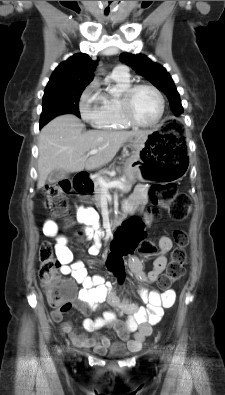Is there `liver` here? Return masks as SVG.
<instances>
[{"mask_svg":"<svg viewBox=\"0 0 225 395\" xmlns=\"http://www.w3.org/2000/svg\"><path fill=\"white\" fill-rule=\"evenodd\" d=\"M84 124L72 114L54 118L45 125L39 135L38 183L45 185L49 174L54 170L79 172L93 170L108 164L128 140H146L152 131H88L83 132ZM93 149H101L88 157Z\"/></svg>","mask_w":225,"mask_h":395,"instance_id":"1","label":"liver"}]
</instances>
